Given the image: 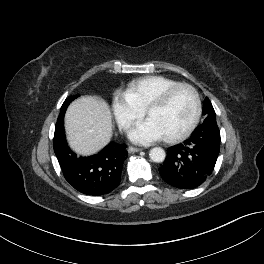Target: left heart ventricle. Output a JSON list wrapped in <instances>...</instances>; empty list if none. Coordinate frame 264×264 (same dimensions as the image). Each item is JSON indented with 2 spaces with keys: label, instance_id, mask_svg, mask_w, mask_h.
<instances>
[{
  "label": "left heart ventricle",
  "instance_id": "obj_1",
  "mask_svg": "<svg viewBox=\"0 0 264 264\" xmlns=\"http://www.w3.org/2000/svg\"><path fill=\"white\" fill-rule=\"evenodd\" d=\"M194 113L192 93L188 89H180L166 105L152 110L148 118L158 126L164 137H169L184 131L191 123Z\"/></svg>",
  "mask_w": 264,
  "mask_h": 264
}]
</instances>
